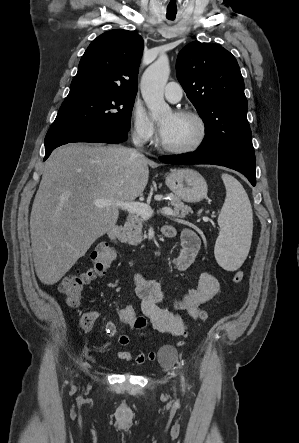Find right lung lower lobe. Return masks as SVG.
Masks as SVG:
<instances>
[{"label": "right lung lower lobe", "mask_w": 299, "mask_h": 443, "mask_svg": "<svg viewBox=\"0 0 299 443\" xmlns=\"http://www.w3.org/2000/svg\"><path fill=\"white\" fill-rule=\"evenodd\" d=\"M128 131L118 127H98L86 128L76 131H48L45 137V158L46 160L51 152L67 143L74 142H102V143H121L127 140Z\"/></svg>", "instance_id": "obj_1"}]
</instances>
